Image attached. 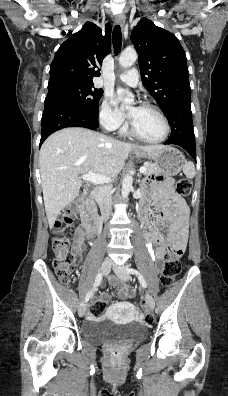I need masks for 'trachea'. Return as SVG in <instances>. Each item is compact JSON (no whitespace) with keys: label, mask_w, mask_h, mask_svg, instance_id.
Segmentation results:
<instances>
[{"label":"trachea","mask_w":228,"mask_h":396,"mask_svg":"<svg viewBox=\"0 0 228 396\" xmlns=\"http://www.w3.org/2000/svg\"><path fill=\"white\" fill-rule=\"evenodd\" d=\"M112 42L115 53L118 54L122 44V33L119 25H116L113 29Z\"/></svg>","instance_id":"3493384b"}]
</instances>
